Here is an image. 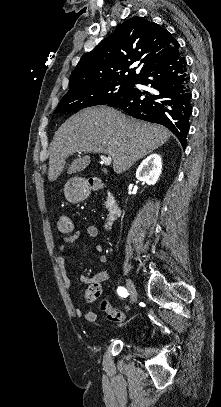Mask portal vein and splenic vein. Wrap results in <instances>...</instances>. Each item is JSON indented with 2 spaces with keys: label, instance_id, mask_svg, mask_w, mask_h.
Segmentation results:
<instances>
[{
  "label": "portal vein and splenic vein",
  "instance_id": "obj_1",
  "mask_svg": "<svg viewBox=\"0 0 221 407\" xmlns=\"http://www.w3.org/2000/svg\"><path fill=\"white\" fill-rule=\"evenodd\" d=\"M101 159V163L104 164L105 166H109L112 163V158L110 156H104V155H99Z\"/></svg>",
  "mask_w": 221,
  "mask_h": 407
}]
</instances>
